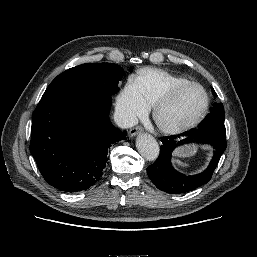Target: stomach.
<instances>
[{"mask_svg":"<svg viewBox=\"0 0 257 257\" xmlns=\"http://www.w3.org/2000/svg\"><path fill=\"white\" fill-rule=\"evenodd\" d=\"M197 147L192 144L183 145L176 149L175 154L179 157H190L196 153Z\"/></svg>","mask_w":257,"mask_h":257,"instance_id":"1","label":"stomach"}]
</instances>
